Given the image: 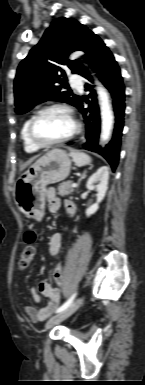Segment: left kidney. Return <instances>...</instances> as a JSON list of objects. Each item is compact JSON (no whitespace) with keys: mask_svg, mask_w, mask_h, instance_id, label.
I'll list each match as a JSON object with an SVG mask.
<instances>
[{"mask_svg":"<svg viewBox=\"0 0 145 385\" xmlns=\"http://www.w3.org/2000/svg\"><path fill=\"white\" fill-rule=\"evenodd\" d=\"M108 178H109V169L107 166H102L88 179L87 185H86L87 188L89 190L97 191L96 203H94L92 206H90L86 210V215L88 217L94 214L98 210L99 203L104 199L107 191ZM97 182H99V184L94 185Z\"/></svg>","mask_w":145,"mask_h":385,"instance_id":"left-kidney-1","label":"left kidney"}]
</instances>
